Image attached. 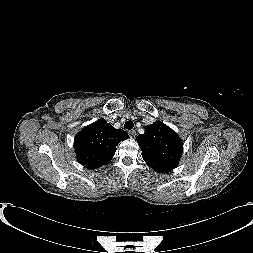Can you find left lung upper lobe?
<instances>
[{"label":"left lung upper lobe","instance_id":"left-lung-upper-lobe-1","mask_svg":"<svg viewBox=\"0 0 253 253\" xmlns=\"http://www.w3.org/2000/svg\"><path fill=\"white\" fill-rule=\"evenodd\" d=\"M137 142L144 161L154 171L168 173L177 167L183 143L167 125L156 121L145 127L144 134L138 135Z\"/></svg>","mask_w":253,"mask_h":253}]
</instances>
